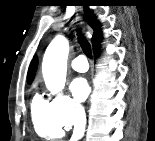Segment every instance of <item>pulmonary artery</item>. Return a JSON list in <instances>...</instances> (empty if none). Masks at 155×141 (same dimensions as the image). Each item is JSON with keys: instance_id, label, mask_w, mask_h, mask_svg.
<instances>
[{"instance_id": "obj_1", "label": "pulmonary artery", "mask_w": 155, "mask_h": 141, "mask_svg": "<svg viewBox=\"0 0 155 141\" xmlns=\"http://www.w3.org/2000/svg\"><path fill=\"white\" fill-rule=\"evenodd\" d=\"M71 66L78 72H86L88 70V63L85 56L83 55H79L74 58L71 62Z\"/></svg>"}]
</instances>
